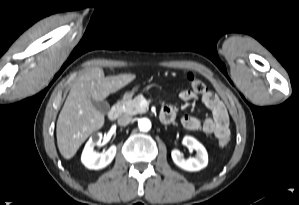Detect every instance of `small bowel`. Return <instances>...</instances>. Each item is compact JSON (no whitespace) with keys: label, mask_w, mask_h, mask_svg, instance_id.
Masks as SVG:
<instances>
[{"label":"small bowel","mask_w":299,"mask_h":205,"mask_svg":"<svg viewBox=\"0 0 299 205\" xmlns=\"http://www.w3.org/2000/svg\"><path fill=\"white\" fill-rule=\"evenodd\" d=\"M180 99L183 101H191L198 96L191 90H183L179 94ZM201 102L210 111L211 116L205 119H199L191 115H185L181 119L182 126L189 131L201 130L206 134L214 135L216 138L223 136H229V117L223 103L218 96L211 92L205 91L200 96ZM162 112L168 113L172 116V120L175 116V108L171 105L165 106ZM171 120V121H172Z\"/></svg>","instance_id":"small-bowel-1"}]
</instances>
